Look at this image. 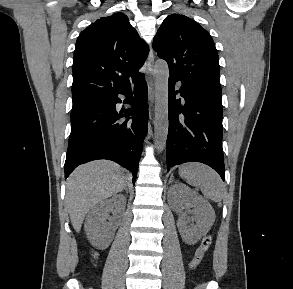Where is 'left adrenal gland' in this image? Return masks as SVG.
I'll use <instances>...</instances> for the list:
<instances>
[{"instance_id": "1", "label": "left adrenal gland", "mask_w": 293, "mask_h": 289, "mask_svg": "<svg viewBox=\"0 0 293 289\" xmlns=\"http://www.w3.org/2000/svg\"><path fill=\"white\" fill-rule=\"evenodd\" d=\"M173 181V175H171L170 180H169V184L172 183Z\"/></svg>"}]
</instances>
